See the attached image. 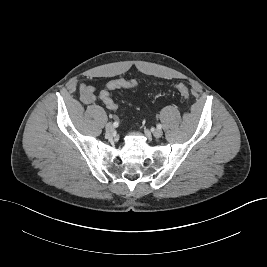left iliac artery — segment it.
<instances>
[{
    "label": "left iliac artery",
    "mask_w": 267,
    "mask_h": 267,
    "mask_svg": "<svg viewBox=\"0 0 267 267\" xmlns=\"http://www.w3.org/2000/svg\"><path fill=\"white\" fill-rule=\"evenodd\" d=\"M157 128H158V129H161V128H162V125H161V124H158V125H157Z\"/></svg>",
    "instance_id": "left-iliac-artery-1"
}]
</instances>
